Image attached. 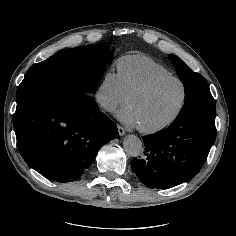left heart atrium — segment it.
Returning <instances> with one entry per match:
<instances>
[{"mask_svg":"<svg viewBox=\"0 0 236 236\" xmlns=\"http://www.w3.org/2000/svg\"><path fill=\"white\" fill-rule=\"evenodd\" d=\"M117 118L128 124V125H136L137 119L134 110L131 107H127L117 113Z\"/></svg>","mask_w":236,"mask_h":236,"instance_id":"obj_1","label":"left heart atrium"}]
</instances>
